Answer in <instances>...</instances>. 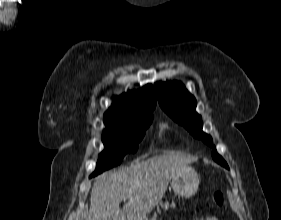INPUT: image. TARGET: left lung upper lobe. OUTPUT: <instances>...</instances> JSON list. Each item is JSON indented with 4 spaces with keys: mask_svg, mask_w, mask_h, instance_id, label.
Listing matches in <instances>:
<instances>
[{
    "mask_svg": "<svg viewBox=\"0 0 281 220\" xmlns=\"http://www.w3.org/2000/svg\"><path fill=\"white\" fill-rule=\"evenodd\" d=\"M161 108L177 123L183 125L195 138L202 139L212 146L213 159L225 168H229L225 160L217 153L211 136L202 131V119L196 112L197 102L180 82H160L154 85Z\"/></svg>",
    "mask_w": 281,
    "mask_h": 220,
    "instance_id": "5c2ea615",
    "label": "left lung upper lobe"
}]
</instances>
